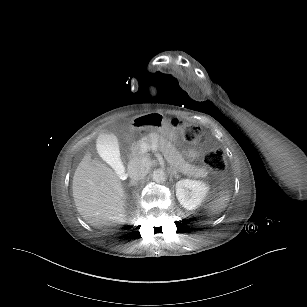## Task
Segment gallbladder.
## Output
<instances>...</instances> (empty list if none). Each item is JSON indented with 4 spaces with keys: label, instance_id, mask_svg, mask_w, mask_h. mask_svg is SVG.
<instances>
[{
    "label": "gallbladder",
    "instance_id": "bac80fb5",
    "mask_svg": "<svg viewBox=\"0 0 307 307\" xmlns=\"http://www.w3.org/2000/svg\"><path fill=\"white\" fill-rule=\"evenodd\" d=\"M95 146L107 162L114 167L115 172L120 173V178L123 180L126 179L128 175L126 172H122L123 168L119 160L118 141L116 137L109 133H101L95 141Z\"/></svg>",
    "mask_w": 307,
    "mask_h": 307
}]
</instances>
